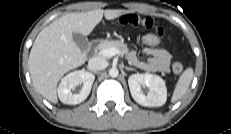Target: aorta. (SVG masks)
<instances>
[{"instance_id":"1","label":"aorta","mask_w":231,"mask_h":134,"mask_svg":"<svg viewBox=\"0 0 231 134\" xmlns=\"http://www.w3.org/2000/svg\"><path fill=\"white\" fill-rule=\"evenodd\" d=\"M109 75L112 77V78H115L119 75V71L117 68L115 67H112L110 70H109Z\"/></svg>"}]
</instances>
